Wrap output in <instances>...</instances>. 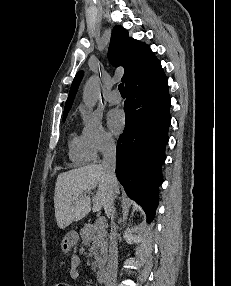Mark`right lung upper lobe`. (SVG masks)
I'll return each mask as SVG.
<instances>
[{
  "mask_svg": "<svg viewBox=\"0 0 231 286\" xmlns=\"http://www.w3.org/2000/svg\"><path fill=\"white\" fill-rule=\"evenodd\" d=\"M108 57L115 67H124L122 81L125 86L133 80L149 75L161 68L160 61L154 56L150 47L129 38L127 30L119 25L113 28ZM82 76L83 72H78L73 80L65 104L64 115H67L71 108Z\"/></svg>",
  "mask_w": 231,
  "mask_h": 286,
  "instance_id": "obj_1",
  "label": "right lung upper lobe"
}]
</instances>
